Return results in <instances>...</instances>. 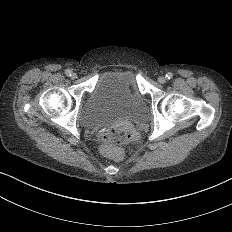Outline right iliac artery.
<instances>
[{"label": "right iliac artery", "mask_w": 232, "mask_h": 232, "mask_svg": "<svg viewBox=\"0 0 232 232\" xmlns=\"http://www.w3.org/2000/svg\"><path fill=\"white\" fill-rule=\"evenodd\" d=\"M65 73H66V75H67V76H71V75H72V71H71V70H69V69H68V70H66V72H65Z\"/></svg>", "instance_id": "1"}]
</instances>
